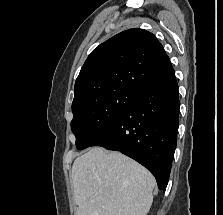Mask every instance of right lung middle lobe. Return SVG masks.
<instances>
[{"label":"right lung middle lobe","mask_w":223,"mask_h":215,"mask_svg":"<svg viewBox=\"0 0 223 215\" xmlns=\"http://www.w3.org/2000/svg\"><path fill=\"white\" fill-rule=\"evenodd\" d=\"M138 94L117 90L72 108L71 129L80 150L91 146L124 114Z\"/></svg>","instance_id":"obj_1"}]
</instances>
